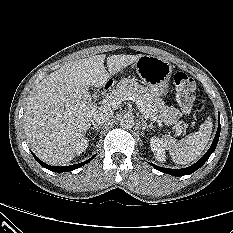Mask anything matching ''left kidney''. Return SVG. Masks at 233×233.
<instances>
[{
	"mask_svg": "<svg viewBox=\"0 0 233 233\" xmlns=\"http://www.w3.org/2000/svg\"><path fill=\"white\" fill-rule=\"evenodd\" d=\"M150 146H151V150L154 153L155 158L159 162L166 161L165 150L163 148L161 140L158 137L154 136V137L151 138V140H150Z\"/></svg>",
	"mask_w": 233,
	"mask_h": 233,
	"instance_id": "left-kidney-1",
	"label": "left kidney"
}]
</instances>
